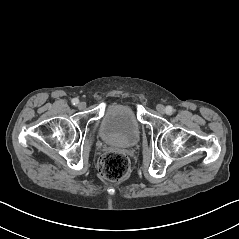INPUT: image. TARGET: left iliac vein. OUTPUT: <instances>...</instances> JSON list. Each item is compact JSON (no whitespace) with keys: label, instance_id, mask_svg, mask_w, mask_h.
<instances>
[{"label":"left iliac vein","instance_id":"left-iliac-vein-1","mask_svg":"<svg viewBox=\"0 0 239 239\" xmlns=\"http://www.w3.org/2000/svg\"><path fill=\"white\" fill-rule=\"evenodd\" d=\"M156 109L160 114L165 113V107L162 104L157 105Z\"/></svg>","mask_w":239,"mask_h":239}]
</instances>
